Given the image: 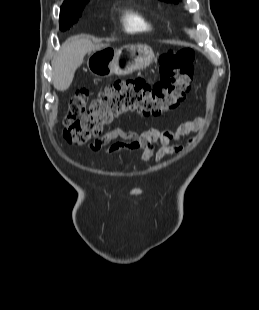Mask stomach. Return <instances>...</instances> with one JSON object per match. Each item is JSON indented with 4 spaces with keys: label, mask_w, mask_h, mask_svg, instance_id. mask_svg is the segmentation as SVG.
<instances>
[{
    "label": "stomach",
    "mask_w": 259,
    "mask_h": 310,
    "mask_svg": "<svg viewBox=\"0 0 259 310\" xmlns=\"http://www.w3.org/2000/svg\"><path fill=\"white\" fill-rule=\"evenodd\" d=\"M154 57L146 44L125 45L118 50L104 46L90 53L87 66L98 77L123 76L148 67Z\"/></svg>",
    "instance_id": "0dacf381"
}]
</instances>
